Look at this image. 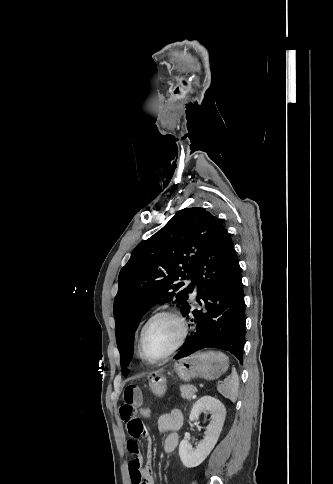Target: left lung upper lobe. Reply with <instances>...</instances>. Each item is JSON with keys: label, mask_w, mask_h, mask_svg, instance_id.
<instances>
[{"label": "left lung upper lobe", "mask_w": 333, "mask_h": 484, "mask_svg": "<svg viewBox=\"0 0 333 484\" xmlns=\"http://www.w3.org/2000/svg\"><path fill=\"white\" fill-rule=\"evenodd\" d=\"M216 217L203 208H185L132 252L118 277L114 299L117 346L123 375L132 358L134 333L142 316L157 302L187 304L185 287L195 258Z\"/></svg>", "instance_id": "obj_1"}]
</instances>
